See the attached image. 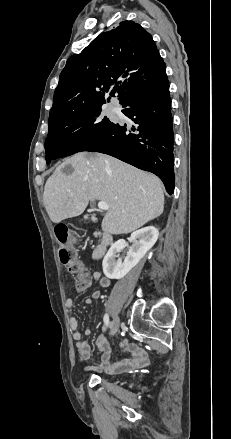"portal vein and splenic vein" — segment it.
Listing matches in <instances>:
<instances>
[{
  "mask_svg": "<svg viewBox=\"0 0 231 439\" xmlns=\"http://www.w3.org/2000/svg\"><path fill=\"white\" fill-rule=\"evenodd\" d=\"M98 208L101 210H109V205L103 201L98 203Z\"/></svg>",
  "mask_w": 231,
  "mask_h": 439,
  "instance_id": "portal-vein-and-splenic-vein-1",
  "label": "portal vein and splenic vein"
}]
</instances>
